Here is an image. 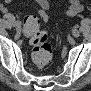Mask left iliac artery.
I'll use <instances>...</instances> for the list:
<instances>
[{
	"mask_svg": "<svg viewBox=\"0 0 91 91\" xmlns=\"http://www.w3.org/2000/svg\"><path fill=\"white\" fill-rule=\"evenodd\" d=\"M78 28H79V25L78 24H75V25L72 26V29L73 30H77Z\"/></svg>",
	"mask_w": 91,
	"mask_h": 91,
	"instance_id": "left-iliac-artery-1",
	"label": "left iliac artery"
}]
</instances>
